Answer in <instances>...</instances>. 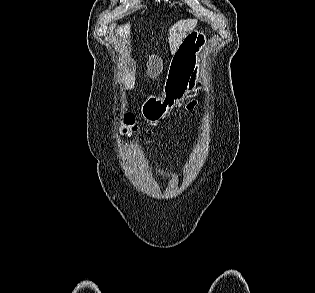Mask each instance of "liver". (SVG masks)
Masks as SVG:
<instances>
[{"instance_id":"obj_1","label":"liver","mask_w":315,"mask_h":293,"mask_svg":"<svg viewBox=\"0 0 315 293\" xmlns=\"http://www.w3.org/2000/svg\"><path fill=\"white\" fill-rule=\"evenodd\" d=\"M196 20H180L176 22L173 26L169 28V37L168 42L170 46L171 53L174 54L177 48L179 47L182 40L185 38L188 32L194 30L196 26ZM120 38H123L124 43L128 42V37L130 36V25L118 27L116 30ZM130 59V51L126 52L125 60ZM125 85L128 88H133L134 78L127 75L125 77Z\"/></svg>"}]
</instances>
